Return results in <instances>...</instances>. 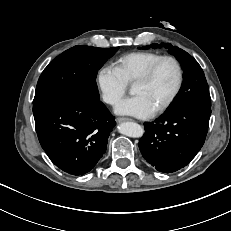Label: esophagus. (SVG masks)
<instances>
[{
  "label": "esophagus",
  "instance_id": "34e87169",
  "mask_svg": "<svg viewBox=\"0 0 231 231\" xmlns=\"http://www.w3.org/2000/svg\"><path fill=\"white\" fill-rule=\"evenodd\" d=\"M124 121H132V119L126 118V117H119V118H117V122L118 123H121V122H124Z\"/></svg>",
  "mask_w": 231,
  "mask_h": 231
}]
</instances>
